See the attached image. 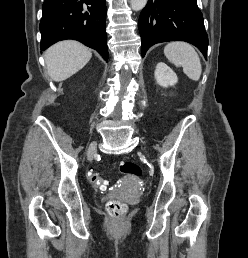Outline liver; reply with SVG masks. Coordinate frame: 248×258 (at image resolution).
<instances>
[{
	"label": "liver",
	"instance_id": "obj_1",
	"mask_svg": "<svg viewBox=\"0 0 248 258\" xmlns=\"http://www.w3.org/2000/svg\"><path fill=\"white\" fill-rule=\"evenodd\" d=\"M91 57V50L76 41L56 43L44 53L48 74L56 82L63 81L77 73Z\"/></svg>",
	"mask_w": 248,
	"mask_h": 258
}]
</instances>
